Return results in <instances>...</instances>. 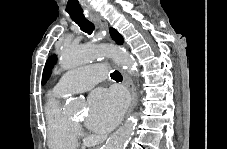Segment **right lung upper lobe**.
I'll return each mask as SVG.
<instances>
[{
    "label": "right lung upper lobe",
    "instance_id": "cb5924a9",
    "mask_svg": "<svg viewBox=\"0 0 227 149\" xmlns=\"http://www.w3.org/2000/svg\"><path fill=\"white\" fill-rule=\"evenodd\" d=\"M110 34L113 40H115L118 44L123 43V38L122 36L117 32V30L110 28Z\"/></svg>",
    "mask_w": 227,
    "mask_h": 149
}]
</instances>
